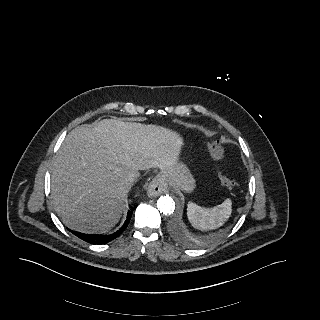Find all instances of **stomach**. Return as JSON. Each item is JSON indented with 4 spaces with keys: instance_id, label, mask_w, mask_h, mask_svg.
I'll list each match as a JSON object with an SVG mask.
<instances>
[{
    "instance_id": "1",
    "label": "stomach",
    "mask_w": 320,
    "mask_h": 320,
    "mask_svg": "<svg viewBox=\"0 0 320 320\" xmlns=\"http://www.w3.org/2000/svg\"><path fill=\"white\" fill-rule=\"evenodd\" d=\"M161 177L166 184L173 185L186 193L195 188V180L185 164L177 160L174 165L161 172Z\"/></svg>"
}]
</instances>
